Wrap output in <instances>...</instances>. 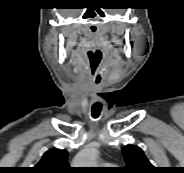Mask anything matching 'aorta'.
<instances>
[{
	"mask_svg": "<svg viewBox=\"0 0 184 173\" xmlns=\"http://www.w3.org/2000/svg\"><path fill=\"white\" fill-rule=\"evenodd\" d=\"M97 160V150L95 147L90 146L83 150L75 159V165H81L77 167H95Z\"/></svg>",
	"mask_w": 184,
	"mask_h": 173,
	"instance_id": "aorta-1",
	"label": "aorta"
}]
</instances>
